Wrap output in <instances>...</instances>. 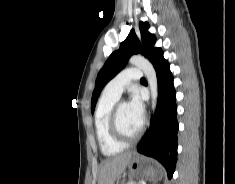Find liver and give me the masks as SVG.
<instances>
[{"mask_svg":"<svg viewBox=\"0 0 235 184\" xmlns=\"http://www.w3.org/2000/svg\"><path fill=\"white\" fill-rule=\"evenodd\" d=\"M132 154L134 152H125L103 160L99 166L98 184H114L115 180L125 172Z\"/></svg>","mask_w":235,"mask_h":184,"instance_id":"6515ba94","label":"liver"}]
</instances>
